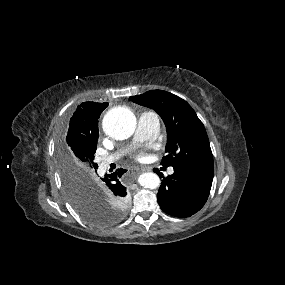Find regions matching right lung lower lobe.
Wrapping results in <instances>:
<instances>
[{
	"instance_id": "right-lung-lower-lobe-1",
	"label": "right lung lower lobe",
	"mask_w": 285,
	"mask_h": 285,
	"mask_svg": "<svg viewBox=\"0 0 285 285\" xmlns=\"http://www.w3.org/2000/svg\"><path fill=\"white\" fill-rule=\"evenodd\" d=\"M126 170L119 169L118 171L106 175L101 180L98 181L99 185L104 188V190L110 192L114 197H117L118 200L125 202L126 188L120 183L119 178L125 173Z\"/></svg>"
}]
</instances>
